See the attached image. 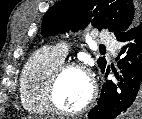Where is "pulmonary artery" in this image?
Returning a JSON list of instances; mask_svg holds the SVG:
<instances>
[{
  "mask_svg": "<svg viewBox=\"0 0 142 119\" xmlns=\"http://www.w3.org/2000/svg\"><path fill=\"white\" fill-rule=\"evenodd\" d=\"M99 42L110 47L116 46L115 40L106 32H101L99 34ZM55 50L63 59L69 52L67 45L64 43L57 45Z\"/></svg>",
  "mask_w": 142,
  "mask_h": 119,
  "instance_id": "e3ab8cb5",
  "label": "pulmonary artery"
}]
</instances>
